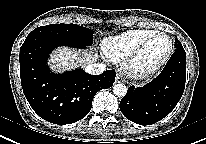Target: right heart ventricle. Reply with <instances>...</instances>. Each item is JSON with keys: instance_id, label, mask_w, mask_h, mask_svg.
<instances>
[{"instance_id": "e07e8e85", "label": "right heart ventricle", "mask_w": 206, "mask_h": 144, "mask_svg": "<svg viewBox=\"0 0 206 144\" xmlns=\"http://www.w3.org/2000/svg\"><path fill=\"white\" fill-rule=\"evenodd\" d=\"M157 32L152 29L128 30L106 38L102 42V51L113 62L125 60L148 36Z\"/></svg>"}]
</instances>
